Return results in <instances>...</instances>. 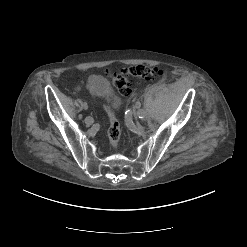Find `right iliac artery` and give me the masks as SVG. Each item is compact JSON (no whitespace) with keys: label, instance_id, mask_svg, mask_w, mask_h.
Returning a JSON list of instances; mask_svg holds the SVG:
<instances>
[{"label":"right iliac artery","instance_id":"1","mask_svg":"<svg viewBox=\"0 0 247 247\" xmlns=\"http://www.w3.org/2000/svg\"><path fill=\"white\" fill-rule=\"evenodd\" d=\"M81 106H82V108H84V109H87L88 108V104H87V102H82V104H81Z\"/></svg>","mask_w":247,"mask_h":247}]
</instances>
